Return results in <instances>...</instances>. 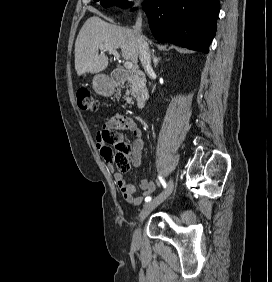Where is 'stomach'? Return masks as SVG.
I'll return each instance as SVG.
<instances>
[{
	"mask_svg": "<svg viewBox=\"0 0 272 282\" xmlns=\"http://www.w3.org/2000/svg\"><path fill=\"white\" fill-rule=\"evenodd\" d=\"M93 86L101 94H109L111 92V84L106 75H96L93 79Z\"/></svg>",
	"mask_w": 272,
	"mask_h": 282,
	"instance_id": "stomach-1",
	"label": "stomach"
}]
</instances>
